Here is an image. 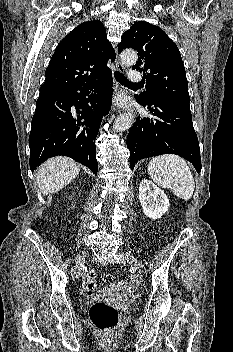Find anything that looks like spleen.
<instances>
[{
  "instance_id": "1",
  "label": "spleen",
  "mask_w": 233,
  "mask_h": 352,
  "mask_svg": "<svg viewBox=\"0 0 233 352\" xmlns=\"http://www.w3.org/2000/svg\"><path fill=\"white\" fill-rule=\"evenodd\" d=\"M148 172L157 185L170 188L178 198H192L195 182L183 158L172 154L154 157L148 163Z\"/></svg>"
}]
</instances>
